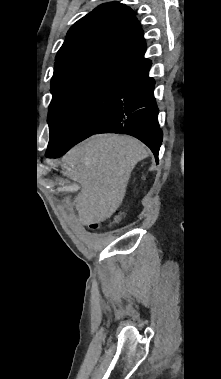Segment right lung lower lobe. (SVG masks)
I'll return each mask as SVG.
<instances>
[{"label":"right lung lower lobe","instance_id":"1","mask_svg":"<svg viewBox=\"0 0 221 379\" xmlns=\"http://www.w3.org/2000/svg\"><path fill=\"white\" fill-rule=\"evenodd\" d=\"M150 66L151 62L121 80L115 105L94 134L132 135L151 149L158 163L163 133L159 127L158 107L153 94L155 82L148 76ZM79 141H57L48 146L46 157H59Z\"/></svg>","mask_w":221,"mask_h":379}]
</instances>
